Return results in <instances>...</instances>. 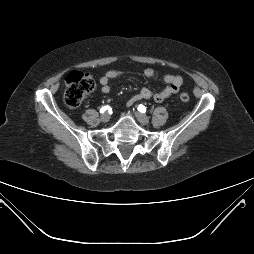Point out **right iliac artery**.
I'll return each instance as SVG.
<instances>
[{
    "instance_id": "obj_1",
    "label": "right iliac artery",
    "mask_w": 254,
    "mask_h": 254,
    "mask_svg": "<svg viewBox=\"0 0 254 254\" xmlns=\"http://www.w3.org/2000/svg\"><path fill=\"white\" fill-rule=\"evenodd\" d=\"M110 109V106L106 105V106H103L101 109H100V113H104L106 110H109Z\"/></svg>"
}]
</instances>
